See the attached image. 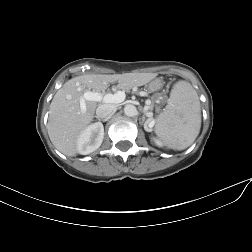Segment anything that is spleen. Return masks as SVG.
Here are the masks:
<instances>
[{"instance_id":"spleen-1","label":"spleen","mask_w":252,"mask_h":252,"mask_svg":"<svg viewBox=\"0 0 252 252\" xmlns=\"http://www.w3.org/2000/svg\"><path fill=\"white\" fill-rule=\"evenodd\" d=\"M200 127L201 109L196 91L187 81L176 82L168 104L156 119V135L167 147L183 150L195 141Z\"/></svg>"}]
</instances>
